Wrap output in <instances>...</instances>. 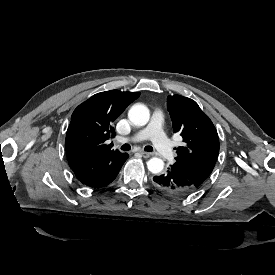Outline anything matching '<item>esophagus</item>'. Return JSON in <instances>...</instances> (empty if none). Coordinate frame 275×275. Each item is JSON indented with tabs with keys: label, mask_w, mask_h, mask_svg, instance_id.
<instances>
[{
	"label": "esophagus",
	"mask_w": 275,
	"mask_h": 275,
	"mask_svg": "<svg viewBox=\"0 0 275 275\" xmlns=\"http://www.w3.org/2000/svg\"><path fill=\"white\" fill-rule=\"evenodd\" d=\"M140 154L143 156V158H149L151 156L150 153L143 150L140 151Z\"/></svg>",
	"instance_id": "obj_1"
}]
</instances>
